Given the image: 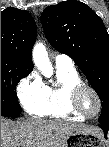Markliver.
I'll return each mask as SVG.
<instances>
[{"instance_id":"6515ba94","label":"liver","mask_w":109,"mask_h":147,"mask_svg":"<svg viewBox=\"0 0 109 147\" xmlns=\"http://www.w3.org/2000/svg\"><path fill=\"white\" fill-rule=\"evenodd\" d=\"M73 133L103 136L100 128L84 124L35 118L14 124L1 119V147H66Z\"/></svg>"}]
</instances>
